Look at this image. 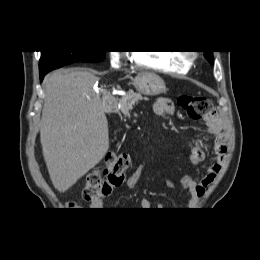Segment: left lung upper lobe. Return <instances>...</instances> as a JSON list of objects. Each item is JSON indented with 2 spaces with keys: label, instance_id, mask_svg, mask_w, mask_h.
<instances>
[{
  "label": "left lung upper lobe",
  "instance_id": "left-lung-upper-lobe-1",
  "mask_svg": "<svg viewBox=\"0 0 260 260\" xmlns=\"http://www.w3.org/2000/svg\"><path fill=\"white\" fill-rule=\"evenodd\" d=\"M205 57L208 59L209 63L214 65V60H213V51H204Z\"/></svg>",
  "mask_w": 260,
  "mask_h": 260
}]
</instances>
